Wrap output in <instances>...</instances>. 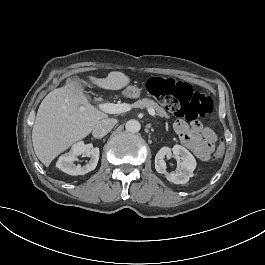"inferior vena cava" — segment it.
<instances>
[{"mask_svg":"<svg viewBox=\"0 0 265 265\" xmlns=\"http://www.w3.org/2000/svg\"><path fill=\"white\" fill-rule=\"evenodd\" d=\"M115 124H116L115 119H103L99 121L93 128L92 131L93 137L97 139H102L112 130Z\"/></svg>","mask_w":265,"mask_h":265,"instance_id":"obj_1","label":"inferior vena cava"}]
</instances>
